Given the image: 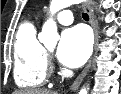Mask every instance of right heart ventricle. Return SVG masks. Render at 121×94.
<instances>
[{
  "mask_svg": "<svg viewBox=\"0 0 121 94\" xmlns=\"http://www.w3.org/2000/svg\"><path fill=\"white\" fill-rule=\"evenodd\" d=\"M47 77L46 50L31 22L23 23L14 42V79L24 89L40 87Z\"/></svg>",
  "mask_w": 121,
  "mask_h": 94,
  "instance_id": "right-heart-ventricle-1",
  "label": "right heart ventricle"
}]
</instances>
